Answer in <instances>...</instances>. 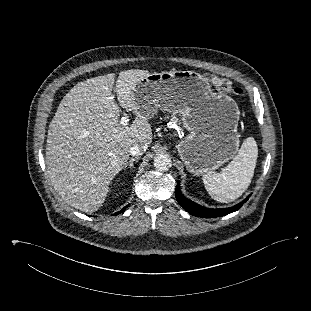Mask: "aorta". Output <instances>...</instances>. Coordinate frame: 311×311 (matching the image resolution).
<instances>
[{
  "mask_svg": "<svg viewBox=\"0 0 311 311\" xmlns=\"http://www.w3.org/2000/svg\"><path fill=\"white\" fill-rule=\"evenodd\" d=\"M172 165V160L168 154H158L154 157V167L160 171H167Z\"/></svg>",
  "mask_w": 311,
  "mask_h": 311,
  "instance_id": "762f6f07",
  "label": "aorta"
}]
</instances>
